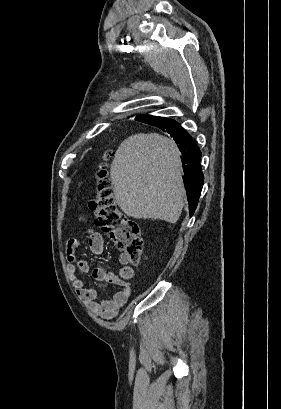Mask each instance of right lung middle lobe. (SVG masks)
I'll return each mask as SVG.
<instances>
[{
	"mask_svg": "<svg viewBox=\"0 0 281 409\" xmlns=\"http://www.w3.org/2000/svg\"><path fill=\"white\" fill-rule=\"evenodd\" d=\"M147 124L156 126L161 128L162 130L165 129L167 126L176 123L174 120L161 118V117H154L146 121Z\"/></svg>",
	"mask_w": 281,
	"mask_h": 409,
	"instance_id": "dd1d6c3e",
	"label": "right lung middle lobe"
}]
</instances>
